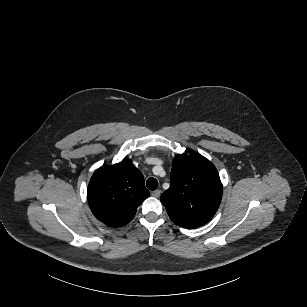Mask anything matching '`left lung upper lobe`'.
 I'll return each instance as SVG.
<instances>
[{
    "label": "left lung upper lobe",
    "mask_w": 307,
    "mask_h": 307,
    "mask_svg": "<svg viewBox=\"0 0 307 307\" xmlns=\"http://www.w3.org/2000/svg\"><path fill=\"white\" fill-rule=\"evenodd\" d=\"M222 184L215 166L195 151L177 155L172 164L170 188L161 195L170 219L178 226L195 228L216 213Z\"/></svg>",
    "instance_id": "5c2ea615"
}]
</instances>
